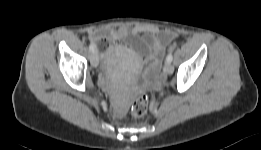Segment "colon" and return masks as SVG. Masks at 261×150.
I'll use <instances>...</instances> for the list:
<instances>
[{
  "label": "colon",
  "instance_id": "obj_1",
  "mask_svg": "<svg viewBox=\"0 0 261 150\" xmlns=\"http://www.w3.org/2000/svg\"><path fill=\"white\" fill-rule=\"evenodd\" d=\"M148 110V96L143 93L139 95L131 106V113L134 117H143L146 115Z\"/></svg>",
  "mask_w": 261,
  "mask_h": 150
}]
</instances>
